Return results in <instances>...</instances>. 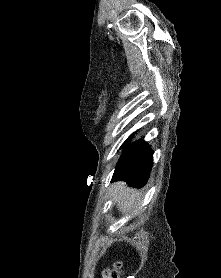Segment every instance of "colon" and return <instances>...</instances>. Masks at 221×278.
Listing matches in <instances>:
<instances>
[{"label": "colon", "mask_w": 221, "mask_h": 278, "mask_svg": "<svg viewBox=\"0 0 221 278\" xmlns=\"http://www.w3.org/2000/svg\"><path fill=\"white\" fill-rule=\"evenodd\" d=\"M122 264L116 262L112 269H107L103 273V278H120Z\"/></svg>", "instance_id": "1"}]
</instances>
